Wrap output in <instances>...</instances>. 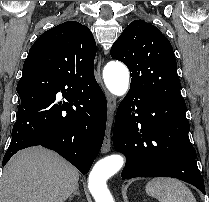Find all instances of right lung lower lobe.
<instances>
[{"label": "right lung lower lobe", "mask_w": 209, "mask_h": 202, "mask_svg": "<svg viewBox=\"0 0 209 202\" xmlns=\"http://www.w3.org/2000/svg\"><path fill=\"white\" fill-rule=\"evenodd\" d=\"M61 92L65 101H57ZM21 103L3 165L18 150L41 145L86 174L103 143L107 102L100 86L77 90L47 71L23 73L17 85Z\"/></svg>", "instance_id": "right-lung-lower-lobe-1"}]
</instances>
